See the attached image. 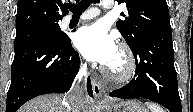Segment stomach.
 <instances>
[{"label": "stomach", "instance_id": "0dacf381", "mask_svg": "<svg viewBox=\"0 0 193 112\" xmlns=\"http://www.w3.org/2000/svg\"><path fill=\"white\" fill-rule=\"evenodd\" d=\"M113 112H147L146 108L138 101L127 100L112 104Z\"/></svg>", "mask_w": 193, "mask_h": 112}]
</instances>
